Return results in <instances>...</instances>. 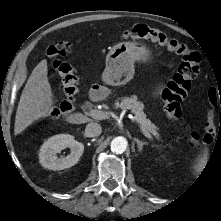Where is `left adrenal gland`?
Segmentation results:
<instances>
[{
  "instance_id": "left-adrenal-gland-1",
  "label": "left adrenal gland",
  "mask_w": 221,
  "mask_h": 221,
  "mask_svg": "<svg viewBox=\"0 0 221 221\" xmlns=\"http://www.w3.org/2000/svg\"><path fill=\"white\" fill-rule=\"evenodd\" d=\"M134 141L137 143L139 152H141L143 150V146L147 144L146 142L140 141L138 138H134Z\"/></svg>"
}]
</instances>
